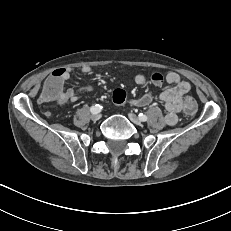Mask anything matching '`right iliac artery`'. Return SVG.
Masks as SVG:
<instances>
[{"label": "right iliac artery", "mask_w": 231, "mask_h": 231, "mask_svg": "<svg viewBox=\"0 0 231 231\" xmlns=\"http://www.w3.org/2000/svg\"><path fill=\"white\" fill-rule=\"evenodd\" d=\"M102 106L101 105H99V104H96V105H94V106H92L91 108H90V112L92 113V114H97V113H99L101 110H102Z\"/></svg>", "instance_id": "1"}]
</instances>
